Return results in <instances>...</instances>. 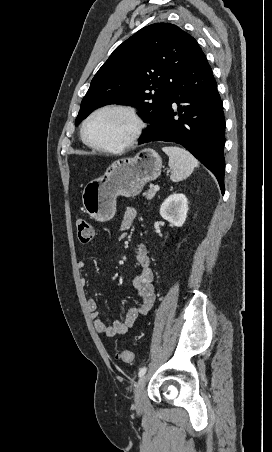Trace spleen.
I'll return each instance as SVG.
<instances>
[{"mask_svg":"<svg viewBox=\"0 0 272 452\" xmlns=\"http://www.w3.org/2000/svg\"><path fill=\"white\" fill-rule=\"evenodd\" d=\"M163 152L169 156V166L172 170L170 179L180 182L189 177L194 168L199 166L198 160L187 150L176 146H165Z\"/></svg>","mask_w":272,"mask_h":452,"instance_id":"1","label":"spleen"}]
</instances>
